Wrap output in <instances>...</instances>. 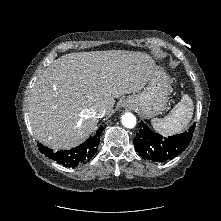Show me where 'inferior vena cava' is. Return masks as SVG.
Here are the masks:
<instances>
[{
    "instance_id": "602c4592",
    "label": "inferior vena cava",
    "mask_w": 221,
    "mask_h": 221,
    "mask_svg": "<svg viewBox=\"0 0 221 221\" xmlns=\"http://www.w3.org/2000/svg\"><path fill=\"white\" fill-rule=\"evenodd\" d=\"M93 113L96 118H102L106 114V109L104 107H98Z\"/></svg>"
}]
</instances>
